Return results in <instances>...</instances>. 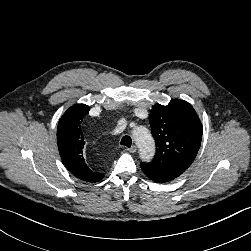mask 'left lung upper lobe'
<instances>
[{"label":"left lung upper lobe","instance_id":"left-lung-upper-lobe-1","mask_svg":"<svg viewBox=\"0 0 251 251\" xmlns=\"http://www.w3.org/2000/svg\"><path fill=\"white\" fill-rule=\"evenodd\" d=\"M157 152L152 167L182 174L194 161L202 139V125L193 107L180 99L156 104L149 115Z\"/></svg>","mask_w":251,"mask_h":251}]
</instances>
